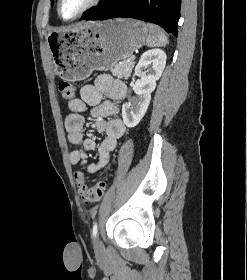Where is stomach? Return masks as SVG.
<instances>
[{
    "label": "stomach",
    "instance_id": "stomach-1",
    "mask_svg": "<svg viewBox=\"0 0 247 280\" xmlns=\"http://www.w3.org/2000/svg\"><path fill=\"white\" fill-rule=\"evenodd\" d=\"M147 34L144 22L119 18L51 32L46 40L57 74L74 82L126 60L143 46Z\"/></svg>",
    "mask_w": 247,
    "mask_h": 280
}]
</instances>
